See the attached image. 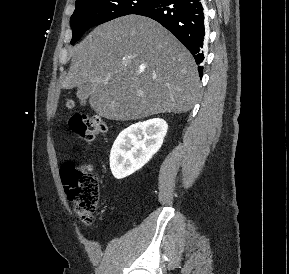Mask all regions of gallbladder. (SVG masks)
<instances>
[{
    "instance_id": "gallbladder-1",
    "label": "gallbladder",
    "mask_w": 289,
    "mask_h": 274,
    "mask_svg": "<svg viewBox=\"0 0 289 274\" xmlns=\"http://www.w3.org/2000/svg\"><path fill=\"white\" fill-rule=\"evenodd\" d=\"M91 91V85L89 83L83 84L78 88L77 97L81 100H85Z\"/></svg>"
}]
</instances>
